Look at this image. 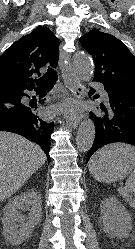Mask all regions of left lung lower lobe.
Masks as SVG:
<instances>
[{"label": "left lung lower lobe", "mask_w": 135, "mask_h": 249, "mask_svg": "<svg viewBox=\"0 0 135 249\" xmlns=\"http://www.w3.org/2000/svg\"><path fill=\"white\" fill-rule=\"evenodd\" d=\"M107 106L100 105L103 112L91 113L96 128L95 139L89 150L87 161L100 147L114 142L135 146V96L106 89ZM94 90L91 89L89 95ZM95 96L94 99H97Z\"/></svg>", "instance_id": "0a47b994"}]
</instances>
